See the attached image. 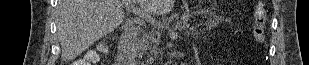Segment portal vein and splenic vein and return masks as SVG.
Here are the masks:
<instances>
[{
    "mask_svg": "<svg viewBox=\"0 0 309 65\" xmlns=\"http://www.w3.org/2000/svg\"><path fill=\"white\" fill-rule=\"evenodd\" d=\"M130 9V8H129ZM131 10L133 13H135L136 15H138L139 17H142L143 19H145L146 21H148L149 23L156 25L157 21L155 20V18H153L152 16L146 14L142 9H140L139 7H134L131 6Z\"/></svg>",
    "mask_w": 309,
    "mask_h": 65,
    "instance_id": "1",
    "label": "portal vein and splenic vein"
}]
</instances>
